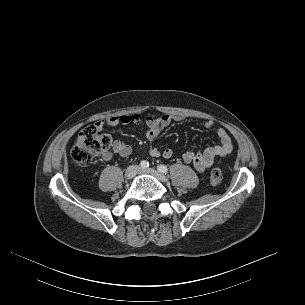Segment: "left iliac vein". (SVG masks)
I'll return each instance as SVG.
<instances>
[{"mask_svg":"<svg viewBox=\"0 0 305 305\" xmlns=\"http://www.w3.org/2000/svg\"><path fill=\"white\" fill-rule=\"evenodd\" d=\"M139 174H148V175H152L155 178H157L159 181L161 182H166L168 179L166 178L165 175H163L162 173L158 172L155 169L152 168H148V169H139L138 171Z\"/></svg>","mask_w":305,"mask_h":305,"instance_id":"obj_1","label":"left iliac vein"}]
</instances>
